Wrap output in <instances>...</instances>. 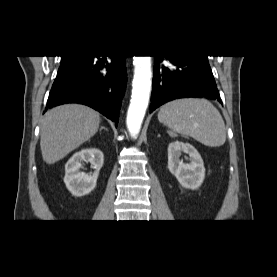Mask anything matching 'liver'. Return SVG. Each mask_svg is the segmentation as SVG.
Masks as SVG:
<instances>
[{
  "label": "liver",
  "instance_id": "obj_1",
  "mask_svg": "<svg viewBox=\"0 0 277 277\" xmlns=\"http://www.w3.org/2000/svg\"><path fill=\"white\" fill-rule=\"evenodd\" d=\"M99 114L84 105L67 104L49 110L41 120L43 160L53 164L89 140L98 131Z\"/></svg>",
  "mask_w": 277,
  "mask_h": 277
}]
</instances>
